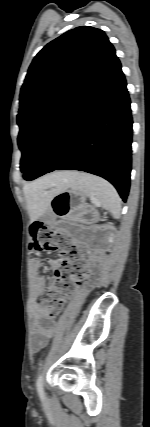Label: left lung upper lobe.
<instances>
[{"label": "left lung upper lobe", "instance_id": "1", "mask_svg": "<svg viewBox=\"0 0 150 427\" xmlns=\"http://www.w3.org/2000/svg\"><path fill=\"white\" fill-rule=\"evenodd\" d=\"M115 56L105 33L90 26L69 30L35 56L21 88L17 115L23 173L49 124Z\"/></svg>", "mask_w": 150, "mask_h": 427}]
</instances>
